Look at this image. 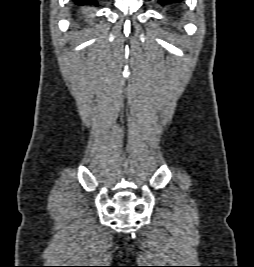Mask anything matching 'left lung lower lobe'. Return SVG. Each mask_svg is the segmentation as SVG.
<instances>
[{"label":"left lung lower lobe","instance_id":"left-lung-lower-lobe-1","mask_svg":"<svg viewBox=\"0 0 254 267\" xmlns=\"http://www.w3.org/2000/svg\"><path fill=\"white\" fill-rule=\"evenodd\" d=\"M181 1L182 0H158V2L161 3V4L181 2Z\"/></svg>","mask_w":254,"mask_h":267}]
</instances>
